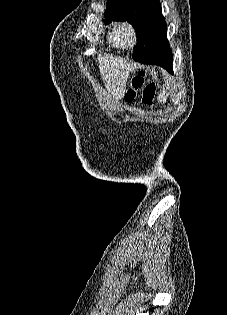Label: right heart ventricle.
<instances>
[{
  "label": "right heart ventricle",
  "mask_w": 227,
  "mask_h": 315,
  "mask_svg": "<svg viewBox=\"0 0 227 315\" xmlns=\"http://www.w3.org/2000/svg\"><path fill=\"white\" fill-rule=\"evenodd\" d=\"M108 41H109L110 45L113 47L120 46L116 28L112 27L110 29L109 34H108Z\"/></svg>",
  "instance_id": "1"
}]
</instances>
